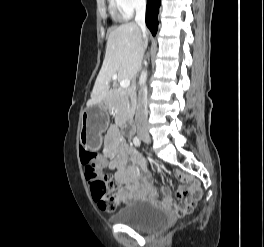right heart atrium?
Listing matches in <instances>:
<instances>
[{
  "label": "right heart atrium",
  "instance_id": "1",
  "mask_svg": "<svg viewBox=\"0 0 264 247\" xmlns=\"http://www.w3.org/2000/svg\"><path fill=\"white\" fill-rule=\"evenodd\" d=\"M146 0H111V5L123 17H130L135 10L142 8Z\"/></svg>",
  "mask_w": 264,
  "mask_h": 247
}]
</instances>
